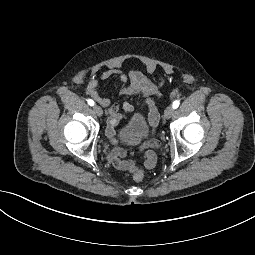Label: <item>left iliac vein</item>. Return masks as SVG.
Here are the masks:
<instances>
[{
    "label": "left iliac vein",
    "instance_id": "obj_1",
    "mask_svg": "<svg viewBox=\"0 0 255 255\" xmlns=\"http://www.w3.org/2000/svg\"><path fill=\"white\" fill-rule=\"evenodd\" d=\"M174 113V108L172 106H168L164 111V118L170 119Z\"/></svg>",
    "mask_w": 255,
    "mask_h": 255
}]
</instances>
